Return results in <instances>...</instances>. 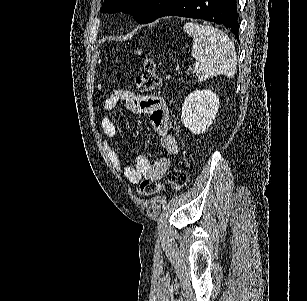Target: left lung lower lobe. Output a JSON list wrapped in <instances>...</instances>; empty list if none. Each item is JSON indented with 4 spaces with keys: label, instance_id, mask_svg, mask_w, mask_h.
<instances>
[{
    "label": "left lung lower lobe",
    "instance_id": "left-lung-lower-lobe-1",
    "mask_svg": "<svg viewBox=\"0 0 307 301\" xmlns=\"http://www.w3.org/2000/svg\"><path fill=\"white\" fill-rule=\"evenodd\" d=\"M236 0H175L158 18L181 16L204 19L228 28L239 41Z\"/></svg>",
    "mask_w": 307,
    "mask_h": 301
}]
</instances>
